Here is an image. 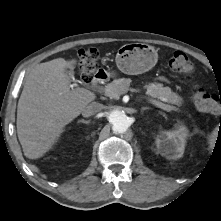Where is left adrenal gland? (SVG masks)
I'll return each instance as SVG.
<instances>
[{"label": "left adrenal gland", "instance_id": "left-adrenal-gland-1", "mask_svg": "<svg viewBox=\"0 0 221 221\" xmlns=\"http://www.w3.org/2000/svg\"><path fill=\"white\" fill-rule=\"evenodd\" d=\"M150 108L149 107H143L142 109H141V113H143L145 110H149Z\"/></svg>", "mask_w": 221, "mask_h": 221}]
</instances>
